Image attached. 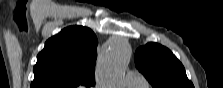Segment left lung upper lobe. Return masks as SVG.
Wrapping results in <instances>:
<instances>
[{
    "label": "left lung upper lobe",
    "instance_id": "obj_1",
    "mask_svg": "<svg viewBox=\"0 0 223 88\" xmlns=\"http://www.w3.org/2000/svg\"><path fill=\"white\" fill-rule=\"evenodd\" d=\"M134 61L153 88H194L181 62L160 44L148 43L138 48Z\"/></svg>",
    "mask_w": 223,
    "mask_h": 88
}]
</instances>
